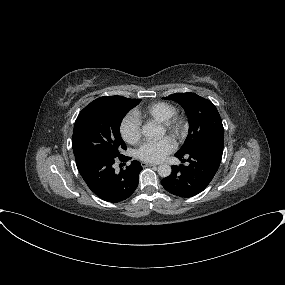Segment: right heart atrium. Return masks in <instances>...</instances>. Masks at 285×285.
<instances>
[{
    "instance_id": "obj_1",
    "label": "right heart atrium",
    "mask_w": 285,
    "mask_h": 285,
    "mask_svg": "<svg viewBox=\"0 0 285 285\" xmlns=\"http://www.w3.org/2000/svg\"><path fill=\"white\" fill-rule=\"evenodd\" d=\"M119 130L124 141L136 144L141 139V120L134 113H128L122 118Z\"/></svg>"
}]
</instances>
